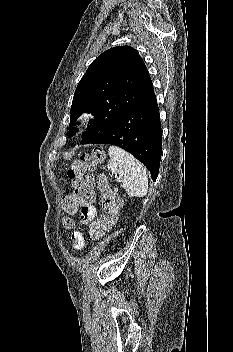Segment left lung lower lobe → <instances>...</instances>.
Instances as JSON below:
<instances>
[{"label": "left lung lower lobe", "instance_id": "0a47b994", "mask_svg": "<svg viewBox=\"0 0 233 352\" xmlns=\"http://www.w3.org/2000/svg\"><path fill=\"white\" fill-rule=\"evenodd\" d=\"M161 137L159 108L153 92L145 100L125 112L91 144H112L125 149L149 169L155 181L161 160Z\"/></svg>", "mask_w": 233, "mask_h": 352}]
</instances>
